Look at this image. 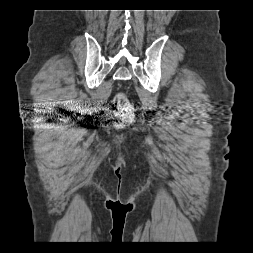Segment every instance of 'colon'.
Here are the masks:
<instances>
[{
    "mask_svg": "<svg viewBox=\"0 0 253 253\" xmlns=\"http://www.w3.org/2000/svg\"><path fill=\"white\" fill-rule=\"evenodd\" d=\"M113 110L116 116V127L124 128L134 119L133 106L123 92H119L113 98Z\"/></svg>",
    "mask_w": 253,
    "mask_h": 253,
    "instance_id": "1",
    "label": "colon"
}]
</instances>
